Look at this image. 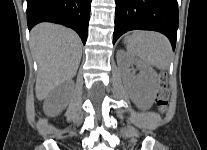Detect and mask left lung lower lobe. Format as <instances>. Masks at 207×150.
<instances>
[{
    "instance_id": "left-lung-lower-lobe-1",
    "label": "left lung lower lobe",
    "mask_w": 207,
    "mask_h": 150,
    "mask_svg": "<svg viewBox=\"0 0 207 150\" xmlns=\"http://www.w3.org/2000/svg\"><path fill=\"white\" fill-rule=\"evenodd\" d=\"M177 29V0H116L113 44L127 31L153 30L166 35L174 50Z\"/></svg>"
}]
</instances>
